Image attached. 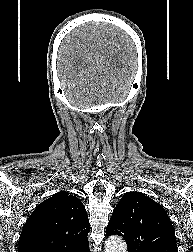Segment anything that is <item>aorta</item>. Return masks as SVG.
I'll return each mask as SVG.
<instances>
[{
  "instance_id": "aorta-1",
  "label": "aorta",
  "mask_w": 193,
  "mask_h": 252,
  "mask_svg": "<svg viewBox=\"0 0 193 252\" xmlns=\"http://www.w3.org/2000/svg\"><path fill=\"white\" fill-rule=\"evenodd\" d=\"M105 252H127V245L121 237L111 236L106 240Z\"/></svg>"
}]
</instances>
